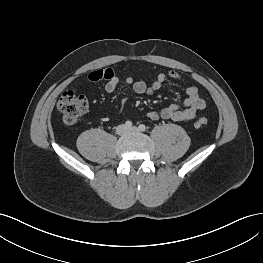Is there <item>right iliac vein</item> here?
<instances>
[{"label": "right iliac vein", "instance_id": "obj_1", "mask_svg": "<svg viewBox=\"0 0 263 263\" xmlns=\"http://www.w3.org/2000/svg\"><path fill=\"white\" fill-rule=\"evenodd\" d=\"M116 131L120 135L125 134L127 132V127L125 125H120L117 127Z\"/></svg>", "mask_w": 263, "mask_h": 263}]
</instances>
